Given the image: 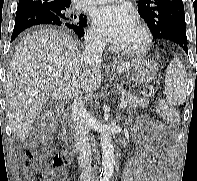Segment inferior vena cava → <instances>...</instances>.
Segmentation results:
<instances>
[{
    "mask_svg": "<svg viewBox=\"0 0 197 181\" xmlns=\"http://www.w3.org/2000/svg\"><path fill=\"white\" fill-rule=\"evenodd\" d=\"M103 37L96 31L85 35L84 57L86 62L98 64L102 59ZM71 116L74 123V134L80 156V181H91L92 153L89 143L90 115L84 107L82 93L75 96L71 107Z\"/></svg>",
    "mask_w": 197,
    "mask_h": 181,
    "instance_id": "obj_1",
    "label": "inferior vena cava"
}]
</instances>
